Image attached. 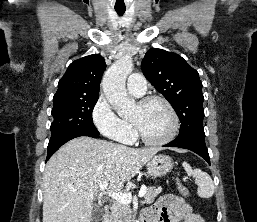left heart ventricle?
Masks as SVG:
<instances>
[{
  "mask_svg": "<svg viewBox=\"0 0 257 222\" xmlns=\"http://www.w3.org/2000/svg\"><path fill=\"white\" fill-rule=\"evenodd\" d=\"M130 120L146 138L151 140L165 137L172 127L170 113L160 102H152L143 107L136 105Z\"/></svg>",
  "mask_w": 257,
  "mask_h": 222,
  "instance_id": "1",
  "label": "left heart ventricle"
}]
</instances>
